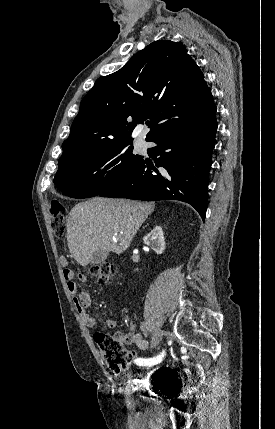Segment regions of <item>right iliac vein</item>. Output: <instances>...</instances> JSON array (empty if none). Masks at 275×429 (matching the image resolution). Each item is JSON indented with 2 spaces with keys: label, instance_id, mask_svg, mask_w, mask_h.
Wrapping results in <instances>:
<instances>
[{
  "label": "right iliac vein",
  "instance_id": "obj_1",
  "mask_svg": "<svg viewBox=\"0 0 275 429\" xmlns=\"http://www.w3.org/2000/svg\"><path fill=\"white\" fill-rule=\"evenodd\" d=\"M163 334H164V332L162 330H158L154 334V336L152 338V347H156L160 343V341H161V339L163 337Z\"/></svg>",
  "mask_w": 275,
  "mask_h": 429
}]
</instances>
